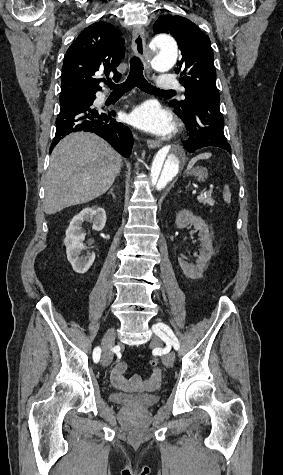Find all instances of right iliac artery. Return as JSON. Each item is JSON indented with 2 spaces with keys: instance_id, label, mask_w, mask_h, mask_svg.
Listing matches in <instances>:
<instances>
[{
  "instance_id": "right-iliac-artery-1",
  "label": "right iliac artery",
  "mask_w": 283,
  "mask_h": 475,
  "mask_svg": "<svg viewBox=\"0 0 283 475\" xmlns=\"http://www.w3.org/2000/svg\"><path fill=\"white\" fill-rule=\"evenodd\" d=\"M101 349L100 347H96L93 351V360L94 362H99L100 360Z\"/></svg>"
}]
</instances>
